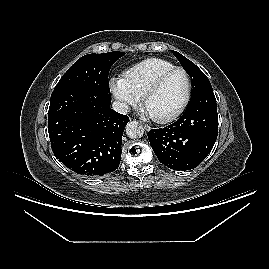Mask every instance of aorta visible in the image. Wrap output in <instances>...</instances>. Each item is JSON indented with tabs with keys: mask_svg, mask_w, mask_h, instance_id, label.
Wrapping results in <instances>:
<instances>
[{
	"mask_svg": "<svg viewBox=\"0 0 269 269\" xmlns=\"http://www.w3.org/2000/svg\"><path fill=\"white\" fill-rule=\"evenodd\" d=\"M126 134L129 138L136 139L143 136L144 127L137 121H131L126 125Z\"/></svg>",
	"mask_w": 269,
	"mask_h": 269,
	"instance_id": "obj_1",
	"label": "aorta"
}]
</instances>
